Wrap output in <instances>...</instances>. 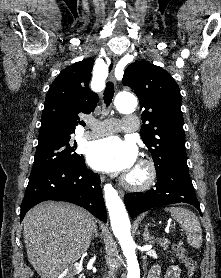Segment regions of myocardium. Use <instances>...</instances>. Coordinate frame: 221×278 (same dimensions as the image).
I'll return each instance as SVG.
<instances>
[{"instance_id":"myocardium-1","label":"myocardium","mask_w":221,"mask_h":278,"mask_svg":"<svg viewBox=\"0 0 221 278\" xmlns=\"http://www.w3.org/2000/svg\"><path fill=\"white\" fill-rule=\"evenodd\" d=\"M134 169L138 175L128 173L122 177L123 185L133 191H142L150 188L156 180L157 171L154 163L148 159H140Z\"/></svg>"}]
</instances>
